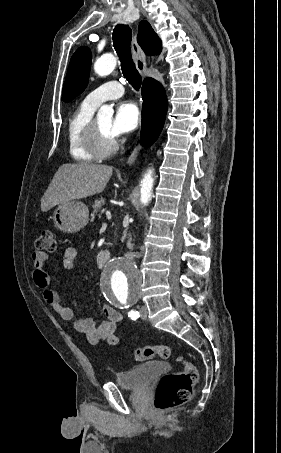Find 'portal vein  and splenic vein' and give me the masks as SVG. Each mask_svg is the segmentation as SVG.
I'll list each match as a JSON object with an SVG mask.
<instances>
[{"instance_id": "1", "label": "portal vein and splenic vein", "mask_w": 281, "mask_h": 453, "mask_svg": "<svg viewBox=\"0 0 281 453\" xmlns=\"http://www.w3.org/2000/svg\"><path fill=\"white\" fill-rule=\"evenodd\" d=\"M107 218H111V212L110 210H106Z\"/></svg>"}]
</instances>
